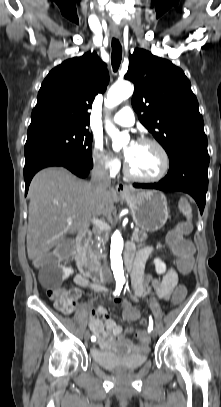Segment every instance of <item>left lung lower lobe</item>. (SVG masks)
Instances as JSON below:
<instances>
[{"label": "left lung lower lobe", "instance_id": "0a47b994", "mask_svg": "<svg viewBox=\"0 0 221 407\" xmlns=\"http://www.w3.org/2000/svg\"><path fill=\"white\" fill-rule=\"evenodd\" d=\"M168 174L157 183H134L136 188L183 191L190 194L203 213L208 189L209 155L207 140H189L178 145L169 156Z\"/></svg>", "mask_w": 221, "mask_h": 407}]
</instances>
